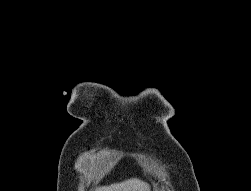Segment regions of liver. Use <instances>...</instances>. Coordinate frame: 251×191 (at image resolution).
<instances>
[{"mask_svg": "<svg viewBox=\"0 0 251 191\" xmlns=\"http://www.w3.org/2000/svg\"><path fill=\"white\" fill-rule=\"evenodd\" d=\"M96 191H150V185L138 177H131L126 181H120V183L97 187Z\"/></svg>", "mask_w": 251, "mask_h": 191, "instance_id": "obj_1", "label": "liver"}]
</instances>
